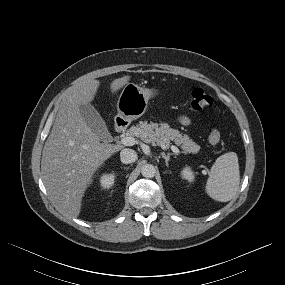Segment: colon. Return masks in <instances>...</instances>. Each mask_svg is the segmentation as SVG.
Returning <instances> with one entry per match:
<instances>
[{"label": "colon", "mask_w": 285, "mask_h": 285, "mask_svg": "<svg viewBox=\"0 0 285 285\" xmlns=\"http://www.w3.org/2000/svg\"><path fill=\"white\" fill-rule=\"evenodd\" d=\"M214 102L213 96L202 88H196L191 94V105L195 110H203ZM222 130L217 125L210 124L207 129V140L210 145L216 146L221 141Z\"/></svg>", "instance_id": "obj_1"}]
</instances>
